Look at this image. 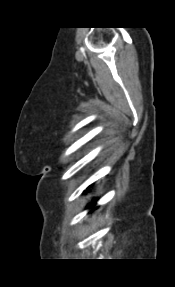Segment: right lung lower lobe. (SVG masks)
Here are the masks:
<instances>
[{"mask_svg": "<svg viewBox=\"0 0 175 287\" xmlns=\"http://www.w3.org/2000/svg\"><path fill=\"white\" fill-rule=\"evenodd\" d=\"M94 205V202L90 203L89 207L93 206Z\"/></svg>", "mask_w": 175, "mask_h": 287, "instance_id": "98d812e1", "label": "right lung lower lobe"}]
</instances>
